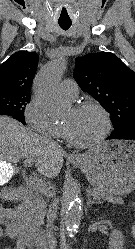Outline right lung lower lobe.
Masks as SVG:
<instances>
[{"label": "right lung lower lobe", "instance_id": "1", "mask_svg": "<svg viewBox=\"0 0 135 249\" xmlns=\"http://www.w3.org/2000/svg\"><path fill=\"white\" fill-rule=\"evenodd\" d=\"M0 115H5V114H0ZM18 121H20L21 123H23V121L22 120H19V119H17ZM24 124V123H23Z\"/></svg>", "mask_w": 135, "mask_h": 249}]
</instances>
